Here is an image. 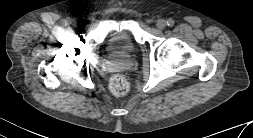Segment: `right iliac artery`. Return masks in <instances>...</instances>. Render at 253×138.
Segmentation results:
<instances>
[{"mask_svg":"<svg viewBox=\"0 0 253 138\" xmlns=\"http://www.w3.org/2000/svg\"><path fill=\"white\" fill-rule=\"evenodd\" d=\"M72 22V20L70 19V18H67L66 20H65V24L67 25V26H70V23Z\"/></svg>","mask_w":253,"mask_h":138,"instance_id":"obj_1","label":"right iliac artery"}]
</instances>
